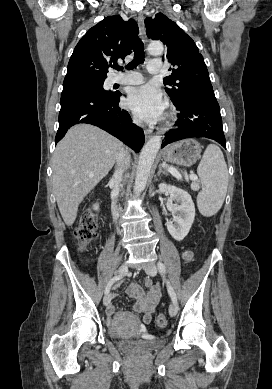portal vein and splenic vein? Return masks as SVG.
I'll return each mask as SVG.
<instances>
[{
	"label": "portal vein and splenic vein",
	"mask_w": 272,
	"mask_h": 389,
	"mask_svg": "<svg viewBox=\"0 0 272 389\" xmlns=\"http://www.w3.org/2000/svg\"><path fill=\"white\" fill-rule=\"evenodd\" d=\"M168 171L174 176L176 177L178 180H181L182 179V176L181 174L177 171V169H175L174 167H169L168 168ZM190 180L192 181H196L198 179V177L194 174H191L189 176Z\"/></svg>",
	"instance_id": "portal-vein-and-splenic-vein-1"
}]
</instances>
